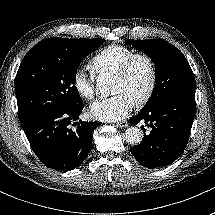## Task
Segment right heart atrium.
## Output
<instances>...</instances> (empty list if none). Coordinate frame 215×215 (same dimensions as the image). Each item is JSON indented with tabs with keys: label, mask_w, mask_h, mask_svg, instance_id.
<instances>
[{
	"label": "right heart atrium",
	"mask_w": 215,
	"mask_h": 215,
	"mask_svg": "<svg viewBox=\"0 0 215 215\" xmlns=\"http://www.w3.org/2000/svg\"><path fill=\"white\" fill-rule=\"evenodd\" d=\"M72 85L80 98L91 101L95 96V78L83 69H77L72 78Z\"/></svg>",
	"instance_id": "obj_1"
}]
</instances>
